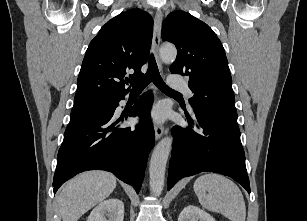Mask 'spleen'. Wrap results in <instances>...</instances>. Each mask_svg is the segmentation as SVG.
Listing matches in <instances>:
<instances>
[{
    "label": "spleen",
    "mask_w": 307,
    "mask_h": 221,
    "mask_svg": "<svg viewBox=\"0 0 307 221\" xmlns=\"http://www.w3.org/2000/svg\"><path fill=\"white\" fill-rule=\"evenodd\" d=\"M194 191L203 208L218 212L231 221H245L246 206L242 192L228 178L206 173L196 179Z\"/></svg>",
    "instance_id": "3e777b00"
}]
</instances>
